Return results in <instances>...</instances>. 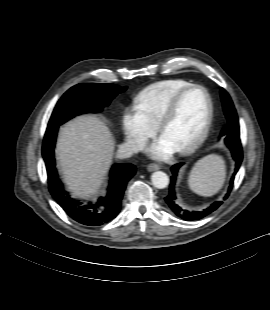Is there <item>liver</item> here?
Here are the masks:
<instances>
[{
  "label": "liver",
  "mask_w": 270,
  "mask_h": 310,
  "mask_svg": "<svg viewBox=\"0 0 270 310\" xmlns=\"http://www.w3.org/2000/svg\"><path fill=\"white\" fill-rule=\"evenodd\" d=\"M114 146L109 128L95 115L78 116L60 128L56 159L73 195L92 198L98 193Z\"/></svg>",
  "instance_id": "liver-1"
}]
</instances>
